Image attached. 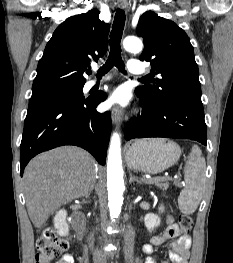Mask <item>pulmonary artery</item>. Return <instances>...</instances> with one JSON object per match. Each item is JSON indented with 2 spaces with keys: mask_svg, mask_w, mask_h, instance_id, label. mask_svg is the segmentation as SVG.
Masks as SVG:
<instances>
[{
  "mask_svg": "<svg viewBox=\"0 0 233 263\" xmlns=\"http://www.w3.org/2000/svg\"><path fill=\"white\" fill-rule=\"evenodd\" d=\"M127 67H128V72L131 74L139 75V74L145 73V70H144V68H143V66L139 60H136V59L129 60ZM110 78H111L110 76H106V77L102 78L101 80H91L88 83V88H91L98 83H103V82L109 80Z\"/></svg>",
  "mask_w": 233,
  "mask_h": 263,
  "instance_id": "1",
  "label": "pulmonary artery"
}]
</instances>
